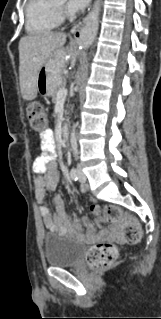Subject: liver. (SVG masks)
<instances>
[{"label": "liver", "instance_id": "obj_1", "mask_svg": "<svg viewBox=\"0 0 161 319\" xmlns=\"http://www.w3.org/2000/svg\"><path fill=\"white\" fill-rule=\"evenodd\" d=\"M66 42L63 33L45 32L22 37L19 41V79L21 94L24 100H33L37 96V81L39 70L53 52H61L63 66L66 64V53L61 49ZM69 51L74 52L70 46Z\"/></svg>", "mask_w": 161, "mask_h": 319}]
</instances>
